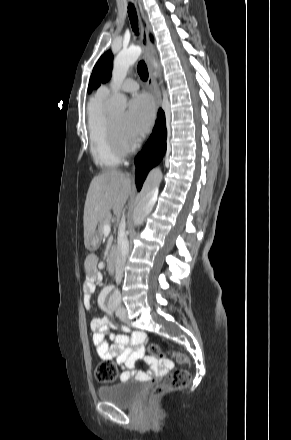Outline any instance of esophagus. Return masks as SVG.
Wrapping results in <instances>:
<instances>
[{
    "instance_id": "esophagus-1",
    "label": "esophagus",
    "mask_w": 291,
    "mask_h": 440,
    "mask_svg": "<svg viewBox=\"0 0 291 440\" xmlns=\"http://www.w3.org/2000/svg\"><path fill=\"white\" fill-rule=\"evenodd\" d=\"M137 6H138L139 13H140V18H141L142 37L144 39V43H145L146 48L149 52V55L153 59L156 56V50H155V48L150 40V37H149L150 32H151V27H150L148 18L146 16V13L144 12L143 6L140 1L137 2ZM148 71H149L148 84L150 86L151 92L154 97L156 111H158V109L160 107V98H159L158 90L156 87L154 71H153V67H152L151 63L148 67Z\"/></svg>"
}]
</instances>
